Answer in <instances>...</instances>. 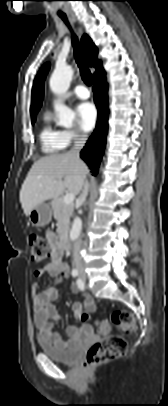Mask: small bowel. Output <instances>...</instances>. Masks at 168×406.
<instances>
[{"label":"small bowel","instance_id":"c3829d8e","mask_svg":"<svg viewBox=\"0 0 168 406\" xmlns=\"http://www.w3.org/2000/svg\"><path fill=\"white\" fill-rule=\"evenodd\" d=\"M48 241L52 246L51 261L43 268L37 269L34 275L38 278L48 275L55 281H61L68 275V266L62 260L63 251L53 233L47 235ZM72 291L77 292L75 285L71 287ZM58 298V292L54 287H49L44 291H38V284L32 286V302L34 312V323L39 335L56 346H68L77 341L82 336L93 334V327L89 323L83 324L80 328L68 326L66 333L69 340L65 341L57 332L54 331L53 322L60 320V315L53 302ZM96 306L93 298L87 295L83 303L76 302L73 304V311L77 316L83 315L86 311H95Z\"/></svg>","mask_w":168,"mask_h":406}]
</instances>
